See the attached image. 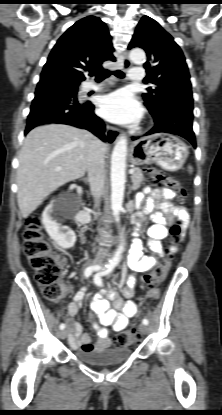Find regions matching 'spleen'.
<instances>
[{
	"mask_svg": "<svg viewBox=\"0 0 222 415\" xmlns=\"http://www.w3.org/2000/svg\"><path fill=\"white\" fill-rule=\"evenodd\" d=\"M189 172H192V167L191 166H189Z\"/></svg>",
	"mask_w": 222,
	"mask_h": 415,
	"instance_id": "spleen-1",
	"label": "spleen"
}]
</instances>
